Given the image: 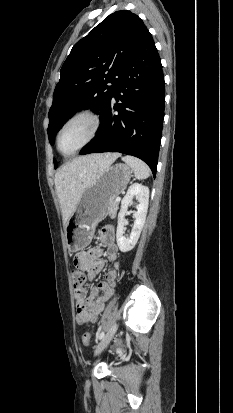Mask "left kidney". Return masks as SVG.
I'll list each match as a JSON object with an SVG mask.
<instances>
[{
	"label": "left kidney",
	"mask_w": 233,
	"mask_h": 413,
	"mask_svg": "<svg viewBox=\"0 0 233 413\" xmlns=\"http://www.w3.org/2000/svg\"><path fill=\"white\" fill-rule=\"evenodd\" d=\"M134 196L138 200L139 204L137 205V211L133 212V216L135 218L134 225L131 231V234L128 238L123 236L124 233V216L128 210L129 204L132 202ZM148 202H149V189L142 184L134 183L130 186L127 191L126 196L123 198L121 202V209L118 214V225H117V232H116V240L121 252H128L132 250L142 231V228L145 223L147 209H148Z\"/></svg>",
	"instance_id": "1"
}]
</instances>
